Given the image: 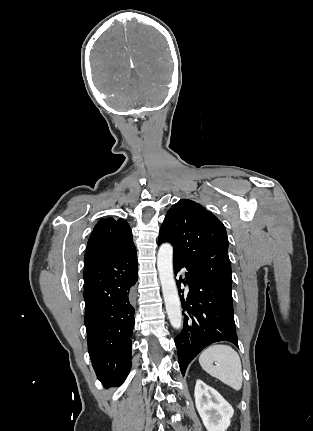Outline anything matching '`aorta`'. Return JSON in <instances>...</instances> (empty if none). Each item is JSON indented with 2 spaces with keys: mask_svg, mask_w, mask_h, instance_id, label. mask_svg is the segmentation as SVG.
I'll return each mask as SVG.
<instances>
[{
  "mask_svg": "<svg viewBox=\"0 0 313 431\" xmlns=\"http://www.w3.org/2000/svg\"><path fill=\"white\" fill-rule=\"evenodd\" d=\"M157 268L162 286L166 312L173 328L183 324L181 303L173 273V247L169 243L160 246L157 255Z\"/></svg>",
  "mask_w": 313,
  "mask_h": 431,
  "instance_id": "762f6f07",
  "label": "aorta"
}]
</instances>
